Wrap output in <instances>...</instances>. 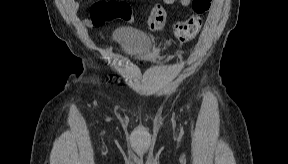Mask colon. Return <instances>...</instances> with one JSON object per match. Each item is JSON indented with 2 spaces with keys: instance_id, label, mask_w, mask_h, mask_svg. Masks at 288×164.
Here are the masks:
<instances>
[{
  "instance_id": "obj_1",
  "label": "colon",
  "mask_w": 288,
  "mask_h": 164,
  "mask_svg": "<svg viewBox=\"0 0 288 164\" xmlns=\"http://www.w3.org/2000/svg\"><path fill=\"white\" fill-rule=\"evenodd\" d=\"M210 0H196L193 3L195 14L190 15L185 21L174 25L176 38L181 42L194 39L203 27V19L199 15L210 7ZM132 12L126 2L114 0H98L90 9V19L96 26H102L114 19H128ZM169 22V15L161 5L152 7L147 23L151 31H160Z\"/></svg>"
}]
</instances>
